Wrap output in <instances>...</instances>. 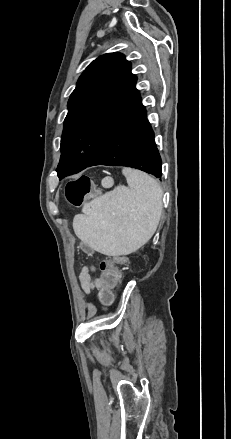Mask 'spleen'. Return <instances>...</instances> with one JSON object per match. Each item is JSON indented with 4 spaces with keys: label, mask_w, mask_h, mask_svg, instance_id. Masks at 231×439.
Returning <instances> with one entry per match:
<instances>
[{
    "label": "spleen",
    "mask_w": 231,
    "mask_h": 439,
    "mask_svg": "<svg viewBox=\"0 0 231 439\" xmlns=\"http://www.w3.org/2000/svg\"><path fill=\"white\" fill-rule=\"evenodd\" d=\"M122 173L128 187L119 185L86 203L73 220L83 242L112 256L130 254L147 243L163 210L162 189L154 178L129 168Z\"/></svg>",
    "instance_id": "obj_1"
}]
</instances>
